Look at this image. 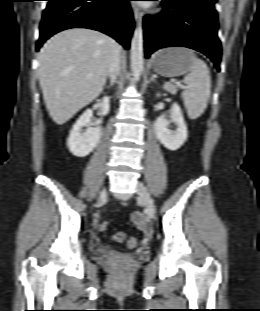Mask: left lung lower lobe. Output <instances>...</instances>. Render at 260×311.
Instances as JSON below:
<instances>
[{
	"label": "left lung lower lobe",
	"mask_w": 260,
	"mask_h": 311,
	"mask_svg": "<svg viewBox=\"0 0 260 311\" xmlns=\"http://www.w3.org/2000/svg\"><path fill=\"white\" fill-rule=\"evenodd\" d=\"M163 11L144 17L146 57L157 49L183 46L207 55L220 70L221 43L214 6L201 0H163Z\"/></svg>",
	"instance_id": "0a47b994"
}]
</instances>
